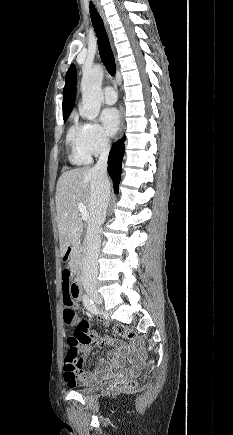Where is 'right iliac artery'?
Segmentation results:
<instances>
[{
	"label": "right iliac artery",
	"instance_id": "obj_1",
	"mask_svg": "<svg viewBox=\"0 0 233 435\" xmlns=\"http://www.w3.org/2000/svg\"><path fill=\"white\" fill-rule=\"evenodd\" d=\"M83 304L91 313L99 314V309L87 295H84Z\"/></svg>",
	"mask_w": 233,
	"mask_h": 435
}]
</instances>
